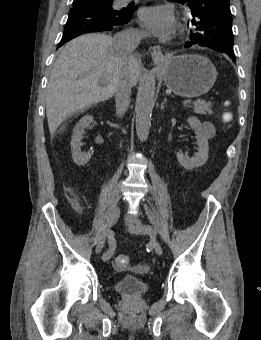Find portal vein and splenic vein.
I'll return each mask as SVG.
<instances>
[{"instance_id": "portal-vein-and-splenic-vein-1", "label": "portal vein and splenic vein", "mask_w": 261, "mask_h": 340, "mask_svg": "<svg viewBox=\"0 0 261 340\" xmlns=\"http://www.w3.org/2000/svg\"><path fill=\"white\" fill-rule=\"evenodd\" d=\"M192 102H193L192 99H187V100H184V101L182 102V104L185 106V105L190 104V103H192Z\"/></svg>"}]
</instances>
